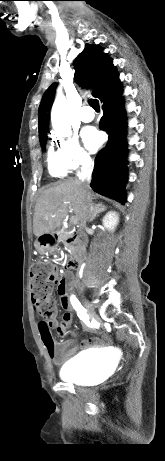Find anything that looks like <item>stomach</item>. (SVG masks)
<instances>
[{
  "mask_svg": "<svg viewBox=\"0 0 165 461\" xmlns=\"http://www.w3.org/2000/svg\"><path fill=\"white\" fill-rule=\"evenodd\" d=\"M35 247L37 249V251H39L40 253H44L46 252L47 250V247L44 246L41 242L37 241L36 244H35Z\"/></svg>",
  "mask_w": 165,
  "mask_h": 461,
  "instance_id": "1",
  "label": "stomach"
}]
</instances>
